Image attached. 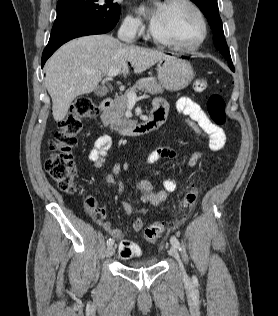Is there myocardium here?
Masks as SVG:
<instances>
[{
	"label": "myocardium",
	"mask_w": 278,
	"mask_h": 316,
	"mask_svg": "<svg viewBox=\"0 0 278 316\" xmlns=\"http://www.w3.org/2000/svg\"><path fill=\"white\" fill-rule=\"evenodd\" d=\"M166 4H169V5L183 4L189 7L198 19V22L200 25L199 37L194 43L190 45H177V44L170 43L158 38L153 32V29L151 27L150 32H149L150 39L153 41V43H155L158 46L168 48L177 52L189 53V52H193L199 49L202 46V44L205 42L208 35V25H207V21L205 19V16L202 10L192 0H166Z\"/></svg>",
	"instance_id": "f54148a6"
}]
</instances>
